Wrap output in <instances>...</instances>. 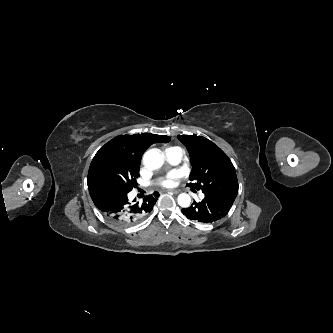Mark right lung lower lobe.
<instances>
[{"label": "right lung lower lobe", "instance_id": "98d812e1", "mask_svg": "<svg viewBox=\"0 0 333 333\" xmlns=\"http://www.w3.org/2000/svg\"><path fill=\"white\" fill-rule=\"evenodd\" d=\"M88 188L97 209L108 220L123 227L142 221L151 212L159 197V193L154 192L146 196L142 204H132L127 197L129 191L103 183H92Z\"/></svg>", "mask_w": 333, "mask_h": 333}]
</instances>
